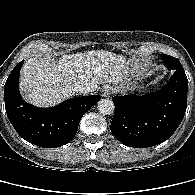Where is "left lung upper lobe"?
<instances>
[{"mask_svg":"<svg viewBox=\"0 0 195 195\" xmlns=\"http://www.w3.org/2000/svg\"><path fill=\"white\" fill-rule=\"evenodd\" d=\"M160 57L162 58L165 66L169 70L183 68L180 61L175 57H172V56H169V55H166V54H160Z\"/></svg>","mask_w":195,"mask_h":195,"instance_id":"5c2ea615","label":"left lung upper lobe"}]
</instances>
